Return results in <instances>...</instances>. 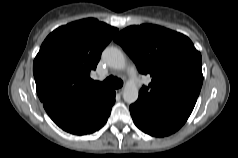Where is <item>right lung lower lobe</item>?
<instances>
[{"mask_svg": "<svg viewBox=\"0 0 238 158\" xmlns=\"http://www.w3.org/2000/svg\"><path fill=\"white\" fill-rule=\"evenodd\" d=\"M42 102L60 128L84 135L99 130L106 123L115 103V91L110 90L103 96L49 98Z\"/></svg>", "mask_w": 238, "mask_h": 158, "instance_id": "right-lung-lower-lobe-1", "label": "right lung lower lobe"}]
</instances>
